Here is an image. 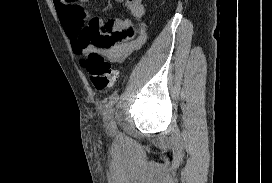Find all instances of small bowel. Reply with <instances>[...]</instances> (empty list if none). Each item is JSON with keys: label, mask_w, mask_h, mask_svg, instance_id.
<instances>
[{"label": "small bowel", "mask_w": 272, "mask_h": 183, "mask_svg": "<svg viewBox=\"0 0 272 183\" xmlns=\"http://www.w3.org/2000/svg\"><path fill=\"white\" fill-rule=\"evenodd\" d=\"M116 1L124 3L137 20L136 26L130 19L117 18L105 22L100 17L90 16L85 8L88 0H53L74 52L82 56L95 52L120 64L142 48L147 39L143 0Z\"/></svg>", "instance_id": "c3829d8e"}]
</instances>
